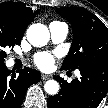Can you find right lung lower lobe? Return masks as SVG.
Here are the masks:
<instances>
[{"label":"right lung lower lobe","instance_id":"1","mask_svg":"<svg viewBox=\"0 0 108 108\" xmlns=\"http://www.w3.org/2000/svg\"><path fill=\"white\" fill-rule=\"evenodd\" d=\"M40 79L41 74L34 69L25 67L16 75L0 63V108H19L28 87Z\"/></svg>","mask_w":108,"mask_h":108}]
</instances>
